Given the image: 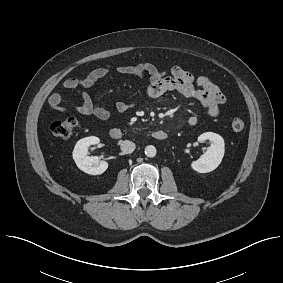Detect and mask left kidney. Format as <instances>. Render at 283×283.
<instances>
[{
	"instance_id": "obj_1",
	"label": "left kidney",
	"mask_w": 283,
	"mask_h": 283,
	"mask_svg": "<svg viewBox=\"0 0 283 283\" xmlns=\"http://www.w3.org/2000/svg\"><path fill=\"white\" fill-rule=\"evenodd\" d=\"M209 141L211 144L201 157L191 163V168L199 173H208L215 170L221 163L224 152V139L216 133L205 132L198 137L199 142Z\"/></svg>"
}]
</instances>
